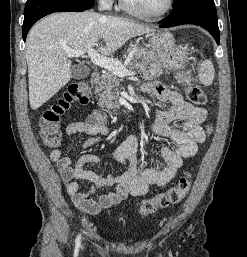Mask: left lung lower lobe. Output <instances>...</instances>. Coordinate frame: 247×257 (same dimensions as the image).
Here are the masks:
<instances>
[{"label": "left lung lower lobe", "instance_id": "1", "mask_svg": "<svg viewBox=\"0 0 247 257\" xmlns=\"http://www.w3.org/2000/svg\"><path fill=\"white\" fill-rule=\"evenodd\" d=\"M195 24L205 28L219 44V28L214 0H186L174 6L161 28Z\"/></svg>", "mask_w": 247, "mask_h": 257}]
</instances>
